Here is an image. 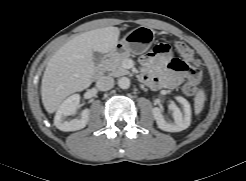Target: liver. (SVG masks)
I'll return each mask as SVG.
<instances>
[{
    "mask_svg": "<svg viewBox=\"0 0 246 181\" xmlns=\"http://www.w3.org/2000/svg\"><path fill=\"white\" fill-rule=\"evenodd\" d=\"M119 35V28L113 26L94 29L74 37L55 52L41 83L42 103L48 113H54L70 94L90 86L95 72L92 53L111 52Z\"/></svg>",
    "mask_w": 246,
    "mask_h": 181,
    "instance_id": "obj_1",
    "label": "liver"
}]
</instances>
